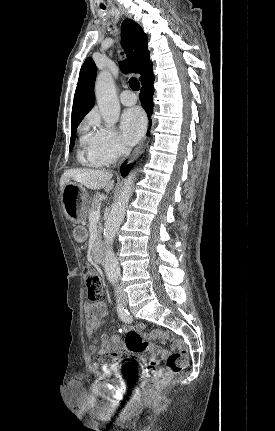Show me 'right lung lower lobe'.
<instances>
[{"label":"right lung lower lobe","mask_w":275,"mask_h":431,"mask_svg":"<svg viewBox=\"0 0 275 431\" xmlns=\"http://www.w3.org/2000/svg\"><path fill=\"white\" fill-rule=\"evenodd\" d=\"M153 83H154V76H152L147 82L143 84L139 95L141 105L145 109L148 117L153 112V103H152V96L154 93ZM150 124H151V121H150ZM125 164L126 163L122 165L120 170L121 175L123 177H125L129 173L130 169L133 167V164H130L128 166H126Z\"/></svg>","instance_id":"1"}]
</instances>
